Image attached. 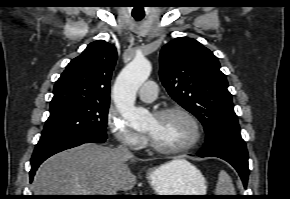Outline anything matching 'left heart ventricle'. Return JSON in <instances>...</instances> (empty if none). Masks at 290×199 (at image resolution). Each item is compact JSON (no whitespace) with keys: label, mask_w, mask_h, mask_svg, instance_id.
<instances>
[{"label":"left heart ventricle","mask_w":290,"mask_h":199,"mask_svg":"<svg viewBox=\"0 0 290 199\" xmlns=\"http://www.w3.org/2000/svg\"><path fill=\"white\" fill-rule=\"evenodd\" d=\"M144 132L161 147L179 148L191 142L194 136L192 125L181 115L165 117L153 116L147 123Z\"/></svg>","instance_id":"left-heart-ventricle-1"}]
</instances>
